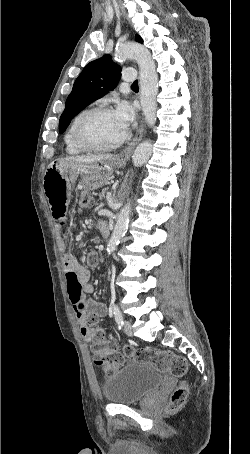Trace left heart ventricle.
Wrapping results in <instances>:
<instances>
[{"instance_id":"1","label":"left heart ventricle","mask_w":250,"mask_h":454,"mask_svg":"<svg viewBox=\"0 0 250 454\" xmlns=\"http://www.w3.org/2000/svg\"><path fill=\"white\" fill-rule=\"evenodd\" d=\"M126 133L114 111L100 112L91 116L83 125L82 138L93 145H108Z\"/></svg>"}]
</instances>
